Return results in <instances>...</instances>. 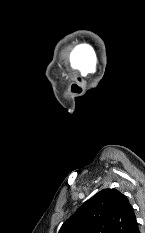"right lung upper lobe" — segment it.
<instances>
[{"instance_id":"right-lung-upper-lobe-1","label":"right lung upper lobe","mask_w":145,"mask_h":233,"mask_svg":"<svg viewBox=\"0 0 145 233\" xmlns=\"http://www.w3.org/2000/svg\"><path fill=\"white\" fill-rule=\"evenodd\" d=\"M136 225L127 197L116 189H104L83 203L59 233H131Z\"/></svg>"}]
</instances>
